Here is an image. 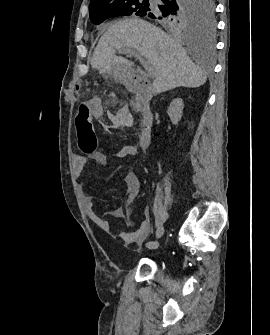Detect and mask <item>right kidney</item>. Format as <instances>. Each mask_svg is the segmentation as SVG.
Segmentation results:
<instances>
[{"mask_svg": "<svg viewBox=\"0 0 270 335\" xmlns=\"http://www.w3.org/2000/svg\"><path fill=\"white\" fill-rule=\"evenodd\" d=\"M183 106V100H181V98H175L168 108V116L175 126H177L181 120Z\"/></svg>", "mask_w": 270, "mask_h": 335, "instance_id": "obj_1", "label": "right kidney"}]
</instances>
